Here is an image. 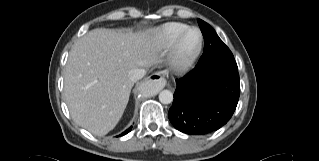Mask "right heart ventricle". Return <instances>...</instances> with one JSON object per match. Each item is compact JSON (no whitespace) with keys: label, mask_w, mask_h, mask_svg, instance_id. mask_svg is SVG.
Segmentation results:
<instances>
[{"label":"right heart ventricle","mask_w":319,"mask_h":161,"mask_svg":"<svg viewBox=\"0 0 319 161\" xmlns=\"http://www.w3.org/2000/svg\"><path fill=\"white\" fill-rule=\"evenodd\" d=\"M188 27L181 22H167L149 32L150 40L159 48H169L177 35Z\"/></svg>","instance_id":"obj_1"}]
</instances>
